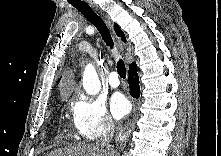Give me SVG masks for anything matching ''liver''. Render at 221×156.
Instances as JSON below:
<instances>
[{"instance_id": "1", "label": "liver", "mask_w": 221, "mask_h": 156, "mask_svg": "<svg viewBox=\"0 0 221 156\" xmlns=\"http://www.w3.org/2000/svg\"><path fill=\"white\" fill-rule=\"evenodd\" d=\"M48 156H114V152L97 145H77L51 151Z\"/></svg>"}]
</instances>
